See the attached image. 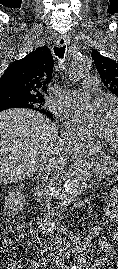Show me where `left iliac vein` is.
<instances>
[{
  "instance_id": "1",
  "label": "left iliac vein",
  "mask_w": 118,
  "mask_h": 269,
  "mask_svg": "<svg viewBox=\"0 0 118 269\" xmlns=\"http://www.w3.org/2000/svg\"><path fill=\"white\" fill-rule=\"evenodd\" d=\"M61 269H69L67 266H64L63 264H61Z\"/></svg>"
}]
</instances>
